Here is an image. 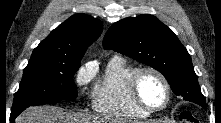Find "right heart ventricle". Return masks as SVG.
I'll use <instances>...</instances> for the list:
<instances>
[{"label":"right heart ventricle","mask_w":221,"mask_h":123,"mask_svg":"<svg viewBox=\"0 0 221 123\" xmlns=\"http://www.w3.org/2000/svg\"><path fill=\"white\" fill-rule=\"evenodd\" d=\"M137 69L121 57L111 58L103 75L93 87V109L112 119L132 120L148 117L149 114L133 102L129 93V80Z\"/></svg>","instance_id":"right-heart-ventricle-1"}]
</instances>
